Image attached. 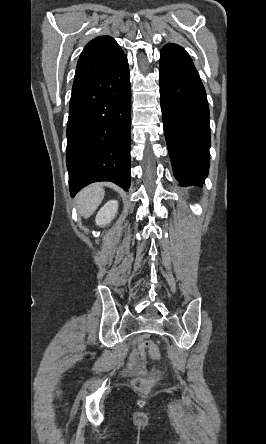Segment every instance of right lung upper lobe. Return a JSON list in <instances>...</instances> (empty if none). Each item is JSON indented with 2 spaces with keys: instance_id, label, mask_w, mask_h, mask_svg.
I'll use <instances>...</instances> for the list:
<instances>
[{
  "instance_id": "obj_1",
  "label": "right lung upper lobe",
  "mask_w": 266,
  "mask_h": 444,
  "mask_svg": "<svg viewBox=\"0 0 266 444\" xmlns=\"http://www.w3.org/2000/svg\"><path fill=\"white\" fill-rule=\"evenodd\" d=\"M123 55L120 46L110 36H99L91 40L79 57L72 93L96 80Z\"/></svg>"
}]
</instances>
